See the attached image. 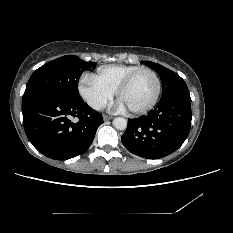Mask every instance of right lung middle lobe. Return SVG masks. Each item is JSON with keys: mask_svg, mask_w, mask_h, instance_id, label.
Masks as SVG:
<instances>
[{"mask_svg": "<svg viewBox=\"0 0 233 233\" xmlns=\"http://www.w3.org/2000/svg\"><path fill=\"white\" fill-rule=\"evenodd\" d=\"M95 64L85 62L75 55L62 56L44 64L31 75L22 101L44 94L81 98L78 92L79 78Z\"/></svg>", "mask_w": 233, "mask_h": 233, "instance_id": "obj_1", "label": "right lung middle lobe"}]
</instances>
